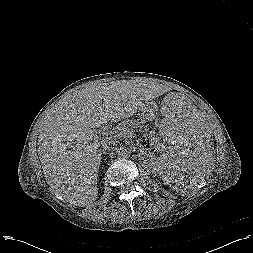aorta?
<instances>
[{"label":"aorta","mask_w":253,"mask_h":253,"mask_svg":"<svg viewBox=\"0 0 253 253\" xmlns=\"http://www.w3.org/2000/svg\"><path fill=\"white\" fill-rule=\"evenodd\" d=\"M118 155L122 158H128L131 155V149L129 147L122 146L118 151Z\"/></svg>","instance_id":"aorta-1"}]
</instances>
